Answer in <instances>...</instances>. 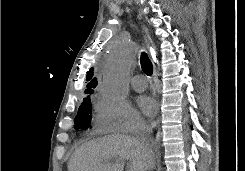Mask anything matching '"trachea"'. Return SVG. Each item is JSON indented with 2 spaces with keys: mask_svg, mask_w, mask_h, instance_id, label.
<instances>
[{
  "mask_svg": "<svg viewBox=\"0 0 245 171\" xmlns=\"http://www.w3.org/2000/svg\"><path fill=\"white\" fill-rule=\"evenodd\" d=\"M140 63H141V67H142L143 72L148 76L152 75V73H153L152 63H151L148 55L144 52L141 54Z\"/></svg>",
  "mask_w": 245,
  "mask_h": 171,
  "instance_id": "3493384b",
  "label": "trachea"
}]
</instances>
